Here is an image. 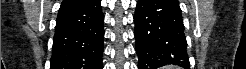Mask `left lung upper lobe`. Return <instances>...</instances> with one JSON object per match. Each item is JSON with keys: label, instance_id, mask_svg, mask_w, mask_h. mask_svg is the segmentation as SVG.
Returning a JSON list of instances; mask_svg holds the SVG:
<instances>
[{"label": "left lung upper lobe", "instance_id": "left-lung-upper-lobe-1", "mask_svg": "<svg viewBox=\"0 0 246 69\" xmlns=\"http://www.w3.org/2000/svg\"><path fill=\"white\" fill-rule=\"evenodd\" d=\"M171 2L172 5H174L175 7H177L178 9H180L179 7V3L177 0H169Z\"/></svg>", "mask_w": 246, "mask_h": 69}]
</instances>
